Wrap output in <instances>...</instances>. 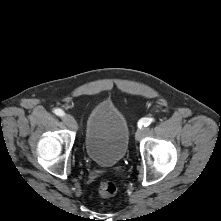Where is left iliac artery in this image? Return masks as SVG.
<instances>
[{"mask_svg": "<svg viewBox=\"0 0 221 221\" xmlns=\"http://www.w3.org/2000/svg\"><path fill=\"white\" fill-rule=\"evenodd\" d=\"M154 119L153 118H142L139 123H138V127L141 128L142 126L147 127L151 124V122H153Z\"/></svg>", "mask_w": 221, "mask_h": 221, "instance_id": "obj_1", "label": "left iliac artery"}]
</instances>
